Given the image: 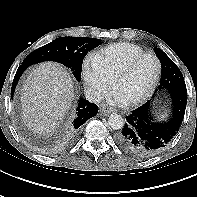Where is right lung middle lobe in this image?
<instances>
[{
  "mask_svg": "<svg viewBox=\"0 0 197 197\" xmlns=\"http://www.w3.org/2000/svg\"><path fill=\"white\" fill-rule=\"evenodd\" d=\"M102 43L100 39L60 37L31 52L23 61L32 65L43 61H55L71 69L77 81L81 80L85 55Z\"/></svg>",
  "mask_w": 197,
  "mask_h": 197,
  "instance_id": "obj_1",
  "label": "right lung middle lobe"
}]
</instances>
